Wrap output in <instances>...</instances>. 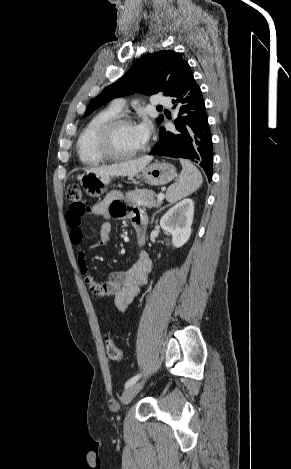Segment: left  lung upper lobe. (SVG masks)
Segmentation results:
<instances>
[{
	"label": "left lung upper lobe",
	"mask_w": 291,
	"mask_h": 469,
	"mask_svg": "<svg viewBox=\"0 0 291 469\" xmlns=\"http://www.w3.org/2000/svg\"><path fill=\"white\" fill-rule=\"evenodd\" d=\"M190 68L180 53L162 50L149 53L135 62L130 70L119 80L107 86L87 107L84 116L116 97L136 91L145 94L162 92L171 96L180 85L184 74ZM163 116L158 118L161 123Z\"/></svg>",
	"instance_id": "obj_1"
}]
</instances>
